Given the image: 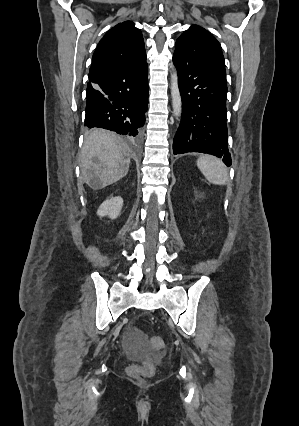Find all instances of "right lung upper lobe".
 I'll return each mask as SVG.
<instances>
[{
  "instance_id": "cb5924a9",
  "label": "right lung upper lobe",
  "mask_w": 299,
  "mask_h": 426,
  "mask_svg": "<svg viewBox=\"0 0 299 426\" xmlns=\"http://www.w3.org/2000/svg\"><path fill=\"white\" fill-rule=\"evenodd\" d=\"M145 61L142 33L133 22L125 21L110 29L100 40L93 54L89 76L137 66Z\"/></svg>"
}]
</instances>
